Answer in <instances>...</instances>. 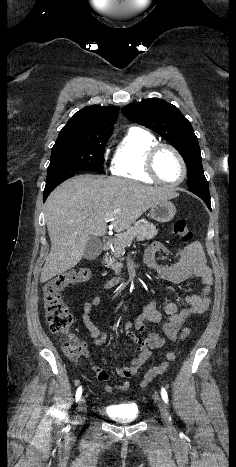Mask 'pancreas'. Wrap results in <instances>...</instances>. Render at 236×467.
<instances>
[{"mask_svg":"<svg viewBox=\"0 0 236 467\" xmlns=\"http://www.w3.org/2000/svg\"><path fill=\"white\" fill-rule=\"evenodd\" d=\"M157 233L158 230L153 223H143L129 227L125 232L118 234L113 240L114 256L112 258L106 256L104 259L106 267L113 269L116 274H119L123 264L116 262L115 257H121L134 238H137L138 241L150 240Z\"/></svg>","mask_w":236,"mask_h":467,"instance_id":"1","label":"pancreas"}]
</instances>
